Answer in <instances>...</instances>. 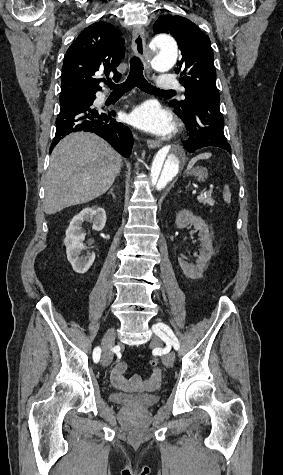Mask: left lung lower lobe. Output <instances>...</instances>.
<instances>
[{"instance_id": "left-lung-lower-lobe-1", "label": "left lung lower lobe", "mask_w": 283, "mask_h": 475, "mask_svg": "<svg viewBox=\"0 0 283 475\" xmlns=\"http://www.w3.org/2000/svg\"><path fill=\"white\" fill-rule=\"evenodd\" d=\"M220 97L212 95L196 96L187 111L175 109L189 130V139L184 142L188 153L202 147L215 146L231 152L224 132V118L219 108Z\"/></svg>"}]
</instances>
